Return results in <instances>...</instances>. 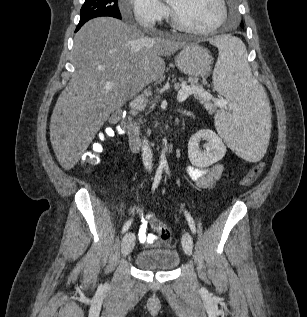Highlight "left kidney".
I'll return each instance as SVG.
<instances>
[{
	"instance_id": "1",
	"label": "left kidney",
	"mask_w": 307,
	"mask_h": 317,
	"mask_svg": "<svg viewBox=\"0 0 307 317\" xmlns=\"http://www.w3.org/2000/svg\"><path fill=\"white\" fill-rule=\"evenodd\" d=\"M200 139L207 141L202 151L199 148ZM226 154V146L222 139L212 130H200L191 136L188 143V157L190 162L199 168L208 167L219 160Z\"/></svg>"
}]
</instances>
